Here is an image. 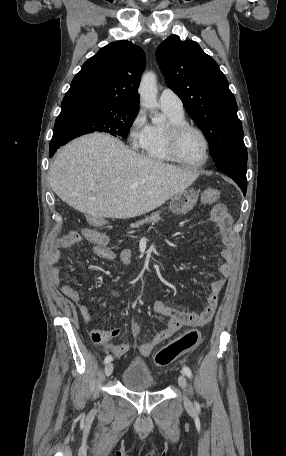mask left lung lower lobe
Instances as JSON below:
<instances>
[{"instance_id":"1","label":"left lung lower lobe","mask_w":286,"mask_h":456,"mask_svg":"<svg viewBox=\"0 0 286 456\" xmlns=\"http://www.w3.org/2000/svg\"><path fill=\"white\" fill-rule=\"evenodd\" d=\"M216 167L232 178L246 194L247 190V160L229 159L216 163Z\"/></svg>"}]
</instances>
